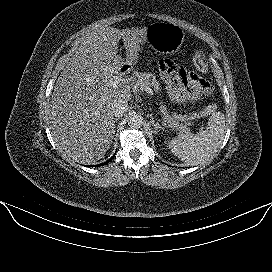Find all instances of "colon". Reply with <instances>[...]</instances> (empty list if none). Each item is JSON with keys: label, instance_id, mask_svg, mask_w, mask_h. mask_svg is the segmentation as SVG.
Here are the masks:
<instances>
[{"label": "colon", "instance_id": "1", "mask_svg": "<svg viewBox=\"0 0 272 272\" xmlns=\"http://www.w3.org/2000/svg\"><path fill=\"white\" fill-rule=\"evenodd\" d=\"M193 63L195 67L200 71V72H205L207 70V63L204 58V55L200 52H197L193 56ZM218 109V106L215 104L208 105L204 107L201 110L198 111H192V112H182L175 110L173 112L174 118L179 121V122H191L193 120L208 116L215 112Z\"/></svg>", "mask_w": 272, "mask_h": 272}]
</instances>
